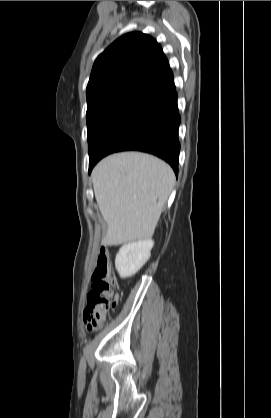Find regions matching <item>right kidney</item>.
I'll use <instances>...</instances> for the list:
<instances>
[{
	"label": "right kidney",
	"instance_id": "ca27d5eb",
	"mask_svg": "<svg viewBox=\"0 0 271 418\" xmlns=\"http://www.w3.org/2000/svg\"><path fill=\"white\" fill-rule=\"evenodd\" d=\"M152 239L123 245L116 255L115 266L121 278H127L141 269L151 255Z\"/></svg>",
	"mask_w": 271,
	"mask_h": 418
}]
</instances>
